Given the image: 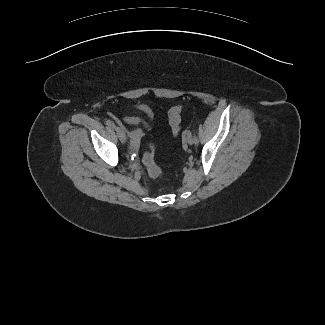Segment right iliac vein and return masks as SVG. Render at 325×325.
<instances>
[{
	"label": "right iliac vein",
	"mask_w": 325,
	"mask_h": 325,
	"mask_svg": "<svg viewBox=\"0 0 325 325\" xmlns=\"http://www.w3.org/2000/svg\"><path fill=\"white\" fill-rule=\"evenodd\" d=\"M116 133H117V136L119 138V140L122 142V143H125L126 142V135L123 131V129H121L120 127H116Z\"/></svg>",
	"instance_id": "obj_1"
}]
</instances>
